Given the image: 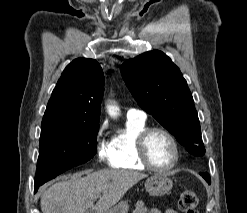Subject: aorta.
Segmentation results:
<instances>
[{"mask_svg": "<svg viewBox=\"0 0 247 213\" xmlns=\"http://www.w3.org/2000/svg\"><path fill=\"white\" fill-rule=\"evenodd\" d=\"M108 114L113 117L117 118L120 115V109L113 103H110L106 106Z\"/></svg>", "mask_w": 247, "mask_h": 213, "instance_id": "obj_1", "label": "aorta"}]
</instances>
